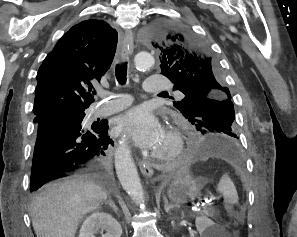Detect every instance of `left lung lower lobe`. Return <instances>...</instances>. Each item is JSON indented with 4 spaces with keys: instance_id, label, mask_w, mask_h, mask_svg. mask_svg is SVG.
Here are the masks:
<instances>
[{
    "instance_id": "left-lung-lower-lobe-1",
    "label": "left lung lower lobe",
    "mask_w": 297,
    "mask_h": 237,
    "mask_svg": "<svg viewBox=\"0 0 297 237\" xmlns=\"http://www.w3.org/2000/svg\"><path fill=\"white\" fill-rule=\"evenodd\" d=\"M202 134V137L197 138L189 145V148L187 150L188 156H218L225 158H234L238 154L237 145L230 142L222 135L208 133Z\"/></svg>"
}]
</instances>
